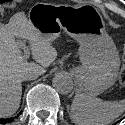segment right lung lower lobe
<instances>
[{"label": "right lung lower lobe", "mask_w": 125, "mask_h": 125, "mask_svg": "<svg viewBox=\"0 0 125 125\" xmlns=\"http://www.w3.org/2000/svg\"><path fill=\"white\" fill-rule=\"evenodd\" d=\"M14 119L13 118H8V119H0V123H9L12 122Z\"/></svg>", "instance_id": "right-lung-lower-lobe-1"}]
</instances>
